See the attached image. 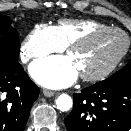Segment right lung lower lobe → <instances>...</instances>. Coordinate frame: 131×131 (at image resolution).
<instances>
[{"mask_svg": "<svg viewBox=\"0 0 131 131\" xmlns=\"http://www.w3.org/2000/svg\"><path fill=\"white\" fill-rule=\"evenodd\" d=\"M39 89L17 63L0 67V131H23Z\"/></svg>", "mask_w": 131, "mask_h": 131, "instance_id": "1", "label": "right lung lower lobe"}]
</instances>
